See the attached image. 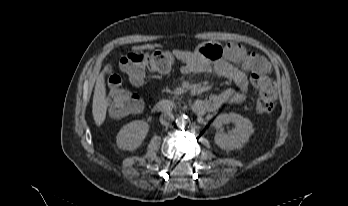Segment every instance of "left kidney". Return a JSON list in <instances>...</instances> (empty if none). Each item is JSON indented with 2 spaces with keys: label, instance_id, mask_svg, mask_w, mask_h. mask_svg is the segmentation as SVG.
I'll return each instance as SVG.
<instances>
[{
  "label": "left kidney",
  "instance_id": "1",
  "mask_svg": "<svg viewBox=\"0 0 348 206\" xmlns=\"http://www.w3.org/2000/svg\"><path fill=\"white\" fill-rule=\"evenodd\" d=\"M229 122H232L235 128L227 135L221 130V127L223 124ZM212 124L217 129L214 137L215 143L224 150L241 148L248 142L249 136L254 132L251 121L235 113L220 114L215 118Z\"/></svg>",
  "mask_w": 348,
  "mask_h": 206
}]
</instances>
